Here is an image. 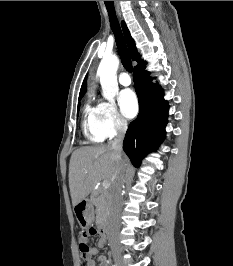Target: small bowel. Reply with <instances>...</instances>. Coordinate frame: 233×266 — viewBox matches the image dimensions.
Here are the masks:
<instances>
[{
  "label": "small bowel",
  "instance_id": "small-bowel-1",
  "mask_svg": "<svg viewBox=\"0 0 233 266\" xmlns=\"http://www.w3.org/2000/svg\"><path fill=\"white\" fill-rule=\"evenodd\" d=\"M106 245L101 238L98 241V248H103ZM98 248L90 247L89 256L84 260L85 266H108L107 258L103 254H98Z\"/></svg>",
  "mask_w": 233,
  "mask_h": 266
}]
</instances>
